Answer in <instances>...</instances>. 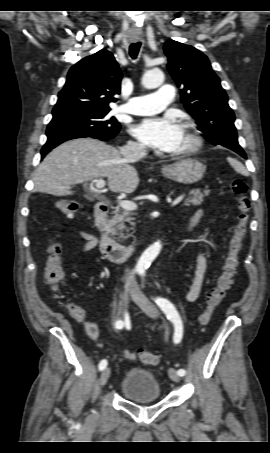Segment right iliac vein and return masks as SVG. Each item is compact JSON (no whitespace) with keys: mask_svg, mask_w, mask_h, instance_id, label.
Returning <instances> with one entry per match:
<instances>
[{"mask_svg":"<svg viewBox=\"0 0 270 453\" xmlns=\"http://www.w3.org/2000/svg\"><path fill=\"white\" fill-rule=\"evenodd\" d=\"M130 293V288H128L126 290V292L123 294V304H126V301H127V296L128 294ZM110 373H111V369L108 367V368H105L102 373H101V376H100V385L103 387L105 386V384L107 383L109 377H110Z\"/></svg>","mask_w":270,"mask_h":453,"instance_id":"right-iliac-vein-1","label":"right iliac vein"}]
</instances>
